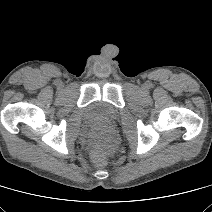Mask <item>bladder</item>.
Masks as SVG:
<instances>
[{"instance_id": "31cf9c89", "label": "bladder", "mask_w": 212, "mask_h": 212, "mask_svg": "<svg viewBox=\"0 0 212 212\" xmlns=\"http://www.w3.org/2000/svg\"><path fill=\"white\" fill-rule=\"evenodd\" d=\"M85 119L90 123L110 124L118 119V111L105 102L96 101L86 108Z\"/></svg>"}]
</instances>
